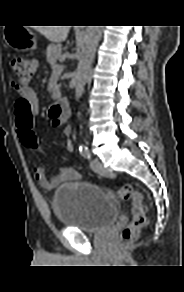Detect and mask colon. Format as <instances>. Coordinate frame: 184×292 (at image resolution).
I'll return each mask as SVG.
<instances>
[{
    "mask_svg": "<svg viewBox=\"0 0 184 292\" xmlns=\"http://www.w3.org/2000/svg\"><path fill=\"white\" fill-rule=\"evenodd\" d=\"M11 71L16 77L15 87L19 96L15 102L16 124L22 144L30 151L44 154L34 130V121L40 111V99L37 93L29 88V84L37 70L35 59L14 56L10 63ZM117 196L132 204V219L121 232L124 244L133 243L147 223L146 207L140 192L126 184L116 190Z\"/></svg>",
    "mask_w": 184,
    "mask_h": 292,
    "instance_id": "5ec220e1",
    "label": "colon"
}]
</instances>
